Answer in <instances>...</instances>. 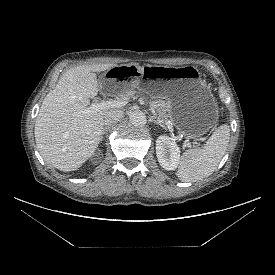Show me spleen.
Instances as JSON below:
<instances>
[{
    "instance_id": "obj_1",
    "label": "spleen",
    "mask_w": 275,
    "mask_h": 275,
    "mask_svg": "<svg viewBox=\"0 0 275 275\" xmlns=\"http://www.w3.org/2000/svg\"><path fill=\"white\" fill-rule=\"evenodd\" d=\"M230 139L229 125L219 126L202 149H190L183 153L177 177L182 182H196L209 177L218 167Z\"/></svg>"
}]
</instances>
